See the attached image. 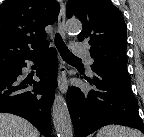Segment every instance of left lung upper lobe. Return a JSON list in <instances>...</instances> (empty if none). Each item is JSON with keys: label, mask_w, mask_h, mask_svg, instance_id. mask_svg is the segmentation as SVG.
<instances>
[{"label": "left lung upper lobe", "mask_w": 144, "mask_h": 137, "mask_svg": "<svg viewBox=\"0 0 144 137\" xmlns=\"http://www.w3.org/2000/svg\"><path fill=\"white\" fill-rule=\"evenodd\" d=\"M68 18L78 16L83 30L79 41H87L94 59L93 69H104L130 78L127 71V30L123 15L110 0H69Z\"/></svg>", "instance_id": "left-lung-upper-lobe-1"}]
</instances>
